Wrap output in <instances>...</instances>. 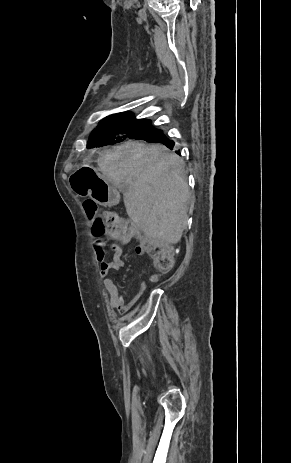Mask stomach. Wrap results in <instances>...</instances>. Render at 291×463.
I'll return each mask as SVG.
<instances>
[{
    "label": "stomach",
    "mask_w": 291,
    "mask_h": 463,
    "mask_svg": "<svg viewBox=\"0 0 291 463\" xmlns=\"http://www.w3.org/2000/svg\"><path fill=\"white\" fill-rule=\"evenodd\" d=\"M70 186L79 196H90L103 206H111L118 201L115 186L88 167L80 169L70 177Z\"/></svg>",
    "instance_id": "1"
}]
</instances>
